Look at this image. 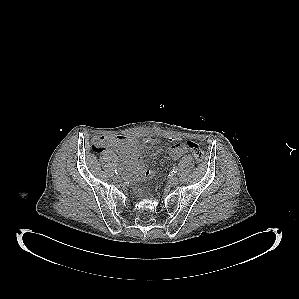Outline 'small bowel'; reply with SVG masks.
Returning a JSON list of instances; mask_svg holds the SVG:
<instances>
[{
	"label": "small bowel",
	"mask_w": 299,
	"mask_h": 299,
	"mask_svg": "<svg viewBox=\"0 0 299 299\" xmlns=\"http://www.w3.org/2000/svg\"><path fill=\"white\" fill-rule=\"evenodd\" d=\"M174 140V139H170ZM107 146L114 149L116 157L124 164L127 174L135 181L152 178L155 172L147 168L140 155L141 143L129 136L108 137ZM185 143L173 144L168 149V157L176 160L187 153Z\"/></svg>",
	"instance_id": "c3829d8e"
}]
</instances>
